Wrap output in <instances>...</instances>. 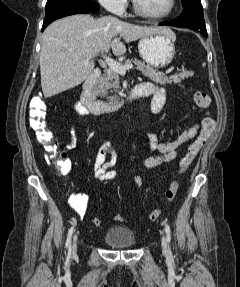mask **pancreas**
<instances>
[{"mask_svg": "<svg viewBox=\"0 0 240 287\" xmlns=\"http://www.w3.org/2000/svg\"><path fill=\"white\" fill-rule=\"evenodd\" d=\"M135 64L137 66V69L143 73L144 76L148 77L151 81L155 83H159L161 85L171 84L174 83H180L181 80L188 78L193 75L190 71H183L179 74L178 77L174 79H168L164 76V74L157 69H154L153 67L146 65L145 62L139 60V59H127L125 60L124 65L127 64ZM119 89V73L108 69L104 72L103 76L100 78V81L98 82V85L96 87L97 93L101 97H106L110 102H116L119 98L116 94ZM111 93L114 95H108V93Z\"/></svg>", "mask_w": 240, "mask_h": 287, "instance_id": "pancreas-1", "label": "pancreas"}]
</instances>
